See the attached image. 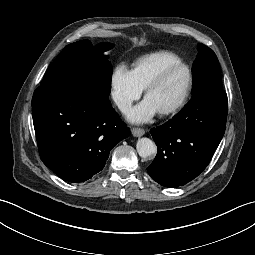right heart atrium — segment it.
I'll list each match as a JSON object with an SVG mask.
<instances>
[{"instance_id":"d8ad5b80","label":"right heart atrium","mask_w":255,"mask_h":255,"mask_svg":"<svg viewBox=\"0 0 255 255\" xmlns=\"http://www.w3.org/2000/svg\"><path fill=\"white\" fill-rule=\"evenodd\" d=\"M143 91L132 70L118 65L111 76V96L121 110H126Z\"/></svg>"}]
</instances>
